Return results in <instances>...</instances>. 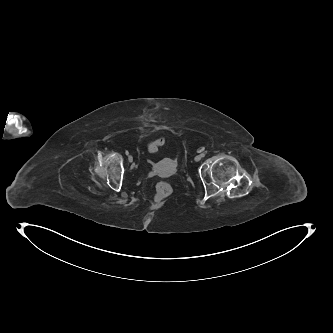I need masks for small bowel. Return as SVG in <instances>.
Here are the masks:
<instances>
[{
    "mask_svg": "<svg viewBox=\"0 0 333 333\" xmlns=\"http://www.w3.org/2000/svg\"><path fill=\"white\" fill-rule=\"evenodd\" d=\"M157 173V166H154L153 167V170H152V172H151V175H154V174H156Z\"/></svg>",
    "mask_w": 333,
    "mask_h": 333,
    "instance_id": "obj_1",
    "label": "small bowel"
}]
</instances>
